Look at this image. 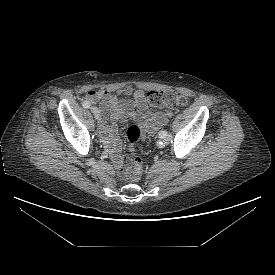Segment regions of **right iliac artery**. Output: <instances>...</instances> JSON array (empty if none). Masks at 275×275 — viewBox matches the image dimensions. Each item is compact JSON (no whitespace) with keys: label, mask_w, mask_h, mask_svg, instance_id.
Listing matches in <instances>:
<instances>
[{"label":"right iliac artery","mask_w":275,"mask_h":275,"mask_svg":"<svg viewBox=\"0 0 275 275\" xmlns=\"http://www.w3.org/2000/svg\"><path fill=\"white\" fill-rule=\"evenodd\" d=\"M90 106H91V103L89 101H84L83 102V107L84 108H90Z\"/></svg>","instance_id":"1"}]
</instances>
